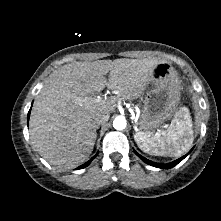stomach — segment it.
Listing matches in <instances>:
<instances>
[{
    "instance_id": "0dacf381",
    "label": "stomach",
    "mask_w": 221,
    "mask_h": 221,
    "mask_svg": "<svg viewBox=\"0 0 221 221\" xmlns=\"http://www.w3.org/2000/svg\"><path fill=\"white\" fill-rule=\"evenodd\" d=\"M151 89L147 91L139 121L140 128L150 131L170 119L177 109L181 81L169 62H160L153 70Z\"/></svg>"
}]
</instances>
